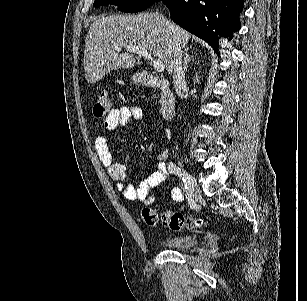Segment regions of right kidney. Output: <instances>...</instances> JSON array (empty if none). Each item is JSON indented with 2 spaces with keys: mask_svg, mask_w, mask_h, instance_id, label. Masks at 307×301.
Masks as SVG:
<instances>
[{
  "mask_svg": "<svg viewBox=\"0 0 307 301\" xmlns=\"http://www.w3.org/2000/svg\"><path fill=\"white\" fill-rule=\"evenodd\" d=\"M195 80H196V82H198V84H201V82L199 80L198 72H196Z\"/></svg>",
  "mask_w": 307,
  "mask_h": 301,
  "instance_id": "ca27d5eb",
  "label": "right kidney"
}]
</instances>
